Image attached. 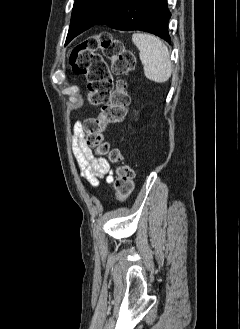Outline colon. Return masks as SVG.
<instances>
[{"label": "colon", "mask_w": 240, "mask_h": 329, "mask_svg": "<svg viewBox=\"0 0 240 329\" xmlns=\"http://www.w3.org/2000/svg\"><path fill=\"white\" fill-rule=\"evenodd\" d=\"M105 58L111 60V70ZM69 63L74 73L86 76L89 102L102 106L97 117L84 121L85 142L98 155L116 165L115 197L123 201L133 190L134 171L123 162L121 152L110 147L104 133L108 125L119 123L125 117L130 95L124 77L134 69L135 56L111 34L100 33L76 45ZM113 75L120 78L114 82Z\"/></svg>", "instance_id": "1"}]
</instances>
